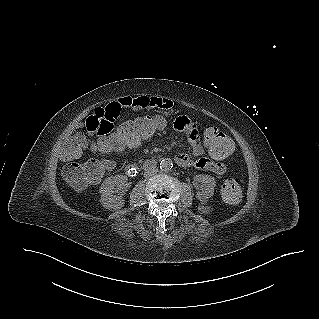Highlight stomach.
<instances>
[{
	"instance_id": "0dacf381",
	"label": "stomach",
	"mask_w": 319,
	"mask_h": 319,
	"mask_svg": "<svg viewBox=\"0 0 319 319\" xmlns=\"http://www.w3.org/2000/svg\"><path fill=\"white\" fill-rule=\"evenodd\" d=\"M151 114H153V113H149V114H147V115L150 116Z\"/></svg>"
}]
</instances>
